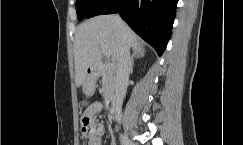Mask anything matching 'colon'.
<instances>
[{"label": "colon", "mask_w": 243, "mask_h": 145, "mask_svg": "<svg viewBox=\"0 0 243 145\" xmlns=\"http://www.w3.org/2000/svg\"><path fill=\"white\" fill-rule=\"evenodd\" d=\"M95 130L94 124L91 118L87 115H84L81 120V134L86 139L93 135Z\"/></svg>", "instance_id": "colon-1"}]
</instances>
